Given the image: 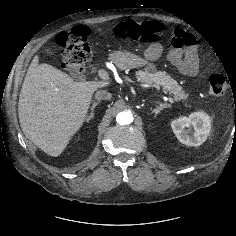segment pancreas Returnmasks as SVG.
I'll return each instance as SVG.
<instances>
[{
  "label": "pancreas",
  "instance_id": "cf45deb5",
  "mask_svg": "<svg viewBox=\"0 0 236 236\" xmlns=\"http://www.w3.org/2000/svg\"><path fill=\"white\" fill-rule=\"evenodd\" d=\"M138 81L144 82L156 89L162 87L164 92L174 95L177 101H185L189 98V94L185 93L182 86L177 83L171 76L166 75L164 71H157L154 64H148L144 70L136 73Z\"/></svg>",
  "mask_w": 236,
  "mask_h": 236
}]
</instances>
